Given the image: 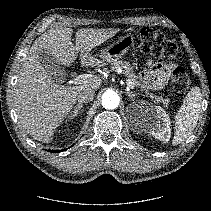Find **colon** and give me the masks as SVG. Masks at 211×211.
I'll list each match as a JSON object with an SVG mask.
<instances>
[{
    "label": "colon",
    "instance_id": "obj_1",
    "mask_svg": "<svg viewBox=\"0 0 211 211\" xmlns=\"http://www.w3.org/2000/svg\"><path fill=\"white\" fill-rule=\"evenodd\" d=\"M140 49L147 54L164 60L179 59L181 52L178 44L160 30L142 28L138 33ZM171 86L176 95H184L190 87L188 74L180 67L171 71Z\"/></svg>",
    "mask_w": 211,
    "mask_h": 211
}]
</instances>
